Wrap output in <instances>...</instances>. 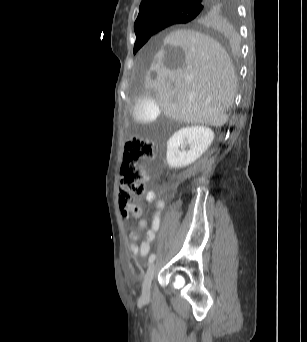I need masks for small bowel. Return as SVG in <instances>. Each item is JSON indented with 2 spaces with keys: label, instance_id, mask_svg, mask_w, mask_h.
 Here are the masks:
<instances>
[{
  "label": "small bowel",
  "instance_id": "obj_1",
  "mask_svg": "<svg viewBox=\"0 0 307 342\" xmlns=\"http://www.w3.org/2000/svg\"><path fill=\"white\" fill-rule=\"evenodd\" d=\"M145 198L148 202H155V210L152 215V226L147 230L146 240L143 241L140 246H137L135 244V242L138 241L140 237V231L146 228L147 223L145 220H140L137 229L132 230L129 235L131 240V252L134 255L141 257L147 255L150 250L151 243L155 239L157 232L159 230L160 212L164 208V201L161 198H158L155 192H147ZM134 210L136 212V215H139L141 212L140 207H134Z\"/></svg>",
  "mask_w": 307,
  "mask_h": 342
}]
</instances>
